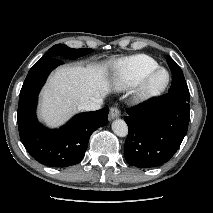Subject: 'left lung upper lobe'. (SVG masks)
Returning a JSON list of instances; mask_svg holds the SVG:
<instances>
[{
  "label": "left lung upper lobe",
  "instance_id": "5c2ea615",
  "mask_svg": "<svg viewBox=\"0 0 213 213\" xmlns=\"http://www.w3.org/2000/svg\"><path fill=\"white\" fill-rule=\"evenodd\" d=\"M167 63L172 73V84L169 89V93L189 96L188 86L181 68L169 56H167Z\"/></svg>",
  "mask_w": 213,
  "mask_h": 213
}]
</instances>
